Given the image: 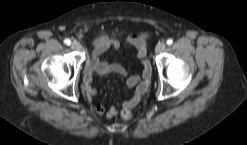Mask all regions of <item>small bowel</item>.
Instances as JSON below:
<instances>
[{
  "label": "small bowel",
  "instance_id": "obj_1",
  "mask_svg": "<svg viewBox=\"0 0 247 145\" xmlns=\"http://www.w3.org/2000/svg\"><path fill=\"white\" fill-rule=\"evenodd\" d=\"M121 43L127 46H133L137 49L136 56L141 61L142 73L141 75L131 74L129 69L121 64L108 62L101 59V56L110 49L117 50ZM108 73H116L126 78V85L133 89L130 99L117 103L110 107L107 111L101 104L95 105V111L107 117H113L118 114L120 108L131 109L134 108L140 101L142 95L147 90L151 82L152 67L148 59L145 39L142 36H129L122 41L118 39H111L106 35H100L93 43V51L89 59L83 77V92L86 98L90 101L97 94L94 87L91 86L94 75H105Z\"/></svg>",
  "mask_w": 247,
  "mask_h": 145
}]
</instances>
